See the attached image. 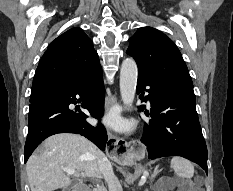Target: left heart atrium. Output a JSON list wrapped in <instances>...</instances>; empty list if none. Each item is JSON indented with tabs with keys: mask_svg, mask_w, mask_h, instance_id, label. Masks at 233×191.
<instances>
[{
	"mask_svg": "<svg viewBox=\"0 0 233 191\" xmlns=\"http://www.w3.org/2000/svg\"><path fill=\"white\" fill-rule=\"evenodd\" d=\"M103 123L116 130H124L128 127L127 122L121 118L119 112L116 110L107 114L103 119Z\"/></svg>",
	"mask_w": 233,
	"mask_h": 191,
	"instance_id": "1",
	"label": "left heart atrium"
}]
</instances>
